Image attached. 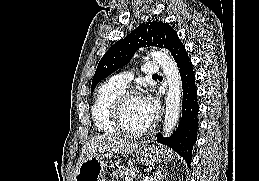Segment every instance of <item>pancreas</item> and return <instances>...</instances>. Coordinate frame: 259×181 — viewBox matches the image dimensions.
I'll return each instance as SVG.
<instances>
[{
	"instance_id": "obj_1",
	"label": "pancreas",
	"mask_w": 259,
	"mask_h": 181,
	"mask_svg": "<svg viewBox=\"0 0 259 181\" xmlns=\"http://www.w3.org/2000/svg\"><path fill=\"white\" fill-rule=\"evenodd\" d=\"M137 169L132 167H122L114 171L112 175L116 178L126 179L137 173Z\"/></svg>"
}]
</instances>
